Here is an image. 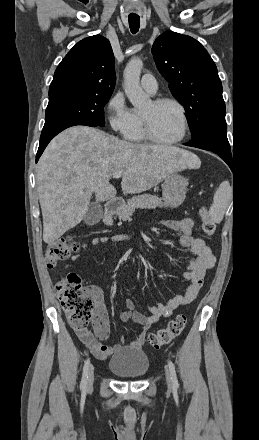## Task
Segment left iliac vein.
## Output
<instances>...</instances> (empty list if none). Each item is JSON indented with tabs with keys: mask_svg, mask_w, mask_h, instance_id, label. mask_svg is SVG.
I'll return each instance as SVG.
<instances>
[{
	"mask_svg": "<svg viewBox=\"0 0 259 440\" xmlns=\"http://www.w3.org/2000/svg\"><path fill=\"white\" fill-rule=\"evenodd\" d=\"M165 378H166V383H167L168 388L171 389L172 388V379H171V374L168 371V369H166V371H165Z\"/></svg>",
	"mask_w": 259,
	"mask_h": 440,
	"instance_id": "1",
	"label": "left iliac vein"
}]
</instances>
